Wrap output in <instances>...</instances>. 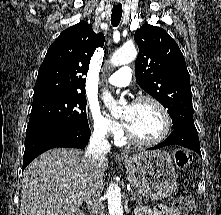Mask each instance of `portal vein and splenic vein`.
I'll list each match as a JSON object with an SVG mask.
<instances>
[{
    "mask_svg": "<svg viewBox=\"0 0 221 215\" xmlns=\"http://www.w3.org/2000/svg\"><path fill=\"white\" fill-rule=\"evenodd\" d=\"M134 199H135V197H134V196H132V197H131V200H134Z\"/></svg>",
    "mask_w": 221,
    "mask_h": 215,
    "instance_id": "1",
    "label": "portal vein and splenic vein"
}]
</instances>
